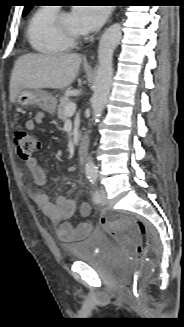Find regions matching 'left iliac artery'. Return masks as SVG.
Listing matches in <instances>:
<instances>
[{"instance_id":"obj_1","label":"left iliac artery","mask_w":184,"mask_h":327,"mask_svg":"<svg viewBox=\"0 0 184 327\" xmlns=\"http://www.w3.org/2000/svg\"><path fill=\"white\" fill-rule=\"evenodd\" d=\"M89 182L92 184V185H96V179H90ZM93 201L95 203H100V194H99V191L98 189H95L94 193H93Z\"/></svg>"}]
</instances>
